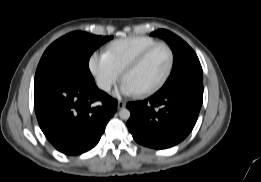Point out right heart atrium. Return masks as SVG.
<instances>
[{"label": "right heart atrium", "mask_w": 261, "mask_h": 182, "mask_svg": "<svg viewBox=\"0 0 261 182\" xmlns=\"http://www.w3.org/2000/svg\"><path fill=\"white\" fill-rule=\"evenodd\" d=\"M89 70L96 85L104 92H109L121 77V72L112 64L105 53L95 52L91 55Z\"/></svg>", "instance_id": "d8ad5b80"}]
</instances>
